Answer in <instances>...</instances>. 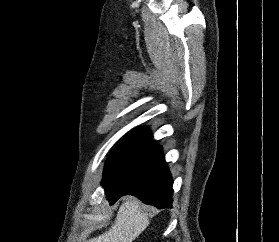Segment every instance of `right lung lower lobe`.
<instances>
[{"label":"right lung lower lobe","mask_w":279,"mask_h":242,"mask_svg":"<svg viewBox=\"0 0 279 242\" xmlns=\"http://www.w3.org/2000/svg\"><path fill=\"white\" fill-rule=\"evenodd\" d=\"M110 204L124 195H134L155 207L172 206L173 180L161 146L151 140L102 182Z\"/></svg>","instance_id":"right-lung-lower-lobe-1"}]
</instances>
